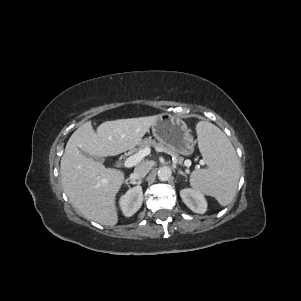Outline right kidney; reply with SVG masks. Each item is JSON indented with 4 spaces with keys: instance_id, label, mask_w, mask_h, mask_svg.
Returning a JSON list of instances; mask_svg holds the SVG:
<instances>
[{
    "instance_id": "ca27d5eb",
    "label": "right kidney",
    "mask_w": 301,
    "mask_h": 301,
    "mask_svg": "<svg viewBox=\"0 0 301 301\" xmlns=\"http://www.w3.org/2000/svg\"><path fill=\"white\" fill-rule=\"evenodd\" d=\"M143 191L141 186L129 189L119 200L120 208L126 217L133 216L142 206Z\"/></svg>"
}]
</instances>
